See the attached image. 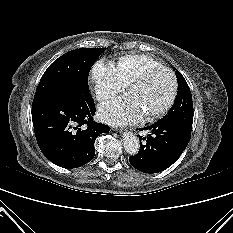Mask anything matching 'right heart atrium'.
Wrapping results in <instances>:
<instances>
[{
  "mask_svg": "<svg viewBox=\"0 0 233 233\" xmlns=\"http://www.w3.org/2000/svg\"><path fill=\"white\" fill-rule=\"evenodd\" d=\"M91 80L96 98L101 102L112 98L126 87L117 68L105 60L95 63L91 71Z\"/></svg>",
  "mask_w": 233,
  "mask_h": 233,
  "instance_id": "1",
  "label": "right heart atrium"
}]
</instances>
